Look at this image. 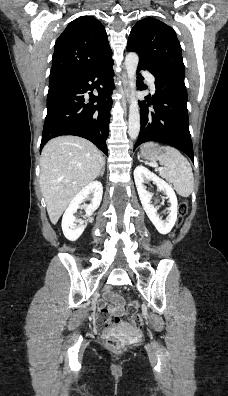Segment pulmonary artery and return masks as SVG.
Returning a JSON list of instances; mask_svg holds the SVG:
<instances>
[{
  "label": "pulmonary artery",
  "instance_id": "1",
  "mask_svg": "<svg viewBox=\"0 0 228 396\" xmlns=\"http://www.w3.org/2000/svg\"><path fill=\"white\" fill-rule=\"evenodd\" d=\"M143 75L147 78L150 88L154 90L155 89L154 77L150 73L145 71L143 72Z\"/></svg>",
  "mask_w": 228,
  "mask_h": 396
}]
</instances>
